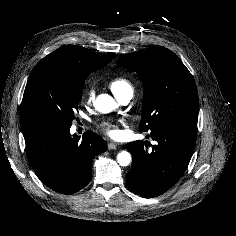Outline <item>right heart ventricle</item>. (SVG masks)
<instances>
[{"label": "right heart ventricle", "mask_w": 236, "mask_h": 236, "mask_svg": "<svg viewBox=\"0 0 236 236\" xmlns=\"http://www.w3.org/2000/svg\"><path fill=\"white\" fill-rule=\"evenodd\" d=\"M109 88L116 95V97L123 95L125 93L133 94L132 83L127 78L122 76L112 79L109 82Z\"/></svg>", "instance_id": "1"}]
</instances>
